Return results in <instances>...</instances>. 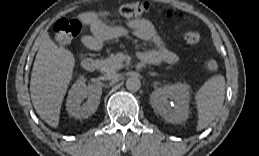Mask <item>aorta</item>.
<instances>
[{"mask_svg": "<svg viewBox=\"0 0 259 156\" xmlns=\"http://www.w3.org/2000/svg\"><path fill=\"white\" fill-rule=\"evenodd\" d=\"M141 87V81L137 77H130L126 80V88L129 91L136 92Z\"/></svg>", "mask_w": 259, "mask_h": 156, "instance_id": "aorta-1", "label": "aorta"}]
</instances>
